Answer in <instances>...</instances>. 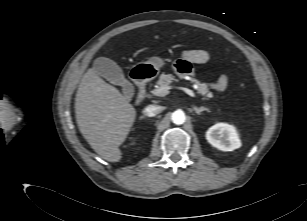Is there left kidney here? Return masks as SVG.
<instances>
[{"label":"left kidney","mask_w":307,"mask_h":221,"mask_svg":"<svg viewBox=\"0 0 307 221\" xmlns=\"http://www.w3.org/2000/svg\"><path fill=\"white\" fill-rule=\"evenodd\" d=\"M206 139L222 151H233L241 146L235 127L226 123L211 126L206 132Z\"/></svg>","instance_id":"5707ae66"}]
</instances>
